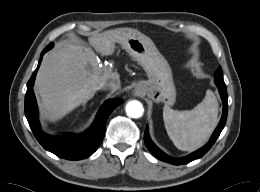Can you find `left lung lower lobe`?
<instances>
[{"instance_id":"0a47b994","label":"left lung lower lobe","mask_w":260,"mask_h":192,"mask_svg":"<svg viewBox=\"0 0 260 192\" xmlns=\"http://www.w3.org/2000/svg\"><path fill=\"white\" fill-rule=\"evenodd\" d=\"M215 83L219 89V93L221 95V99L223 101V115L222 118L215 129L213 135L211 136L209 142L200 148L199 150L191 153L190 155L183 157V158H171L168 155H166L164 152H162L150 139L149 134H148V128L146 127L145 134H144V142L148 150L156 156L158 159L171 163L174 165H182V164H187L195 159H198L202 157L215 143L217 138L219 137L221 131L224 128L225 122L227 120V113H228V103H227V89L224 83V80H215Z\"/></svg>"}]
</instances>
